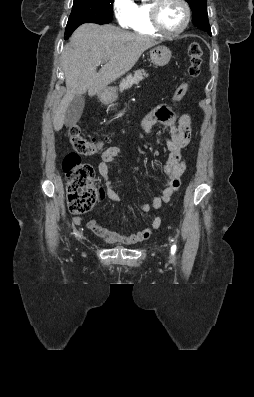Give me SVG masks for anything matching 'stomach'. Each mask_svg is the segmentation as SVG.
<instances>
[{
    "mask_svg": "<svg viewBox=\"0 0 254 397\" xmlns=\"http://www.w3.org/2000/svg\"><path fill=\"white\" fill-rule=\"evenodd\" d=\"M150 58L155 66L163 67L169 63L171 51L166 46H157L150 50ZM99 98L104 104H109L116 96L114 91H105L100 93Z\"/></svg>",
    "mask_w": 254,
    "mask_h": 397,
    "instance_id": "stomach-1",
    "label": "stomach"
}]
</instances>
